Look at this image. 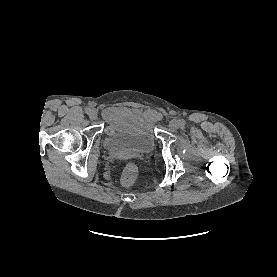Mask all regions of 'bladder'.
I'll return each instance as SVG.
<instances>
[{"instance_id": "obj_1", "label": "bladder", "mask_w": 277, "mask_h": 277, "mask_svg": "<svg viewBox=\"0 0 277 277\" xmlns=\"http://www.w3.org/2000/svg\"><path fill=\"white\" fill-rule=\"evenodd\" d=\"M105 147L112 153L146 154L156 143L155 119L149 112L118 107L106 114Z\"/></svg>"}]
</instances>
